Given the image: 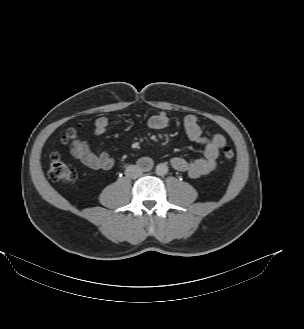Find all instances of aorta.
<instances>
[{"label": "aorta", "instance_id": "1", "mask_svg": "<svg viewBox=\"0 0 304 329\" xmlns=\"http://www.w3.org/2000/svg\"><path fill=\"white\" fill-rule=\"evenodd\" d=\"M168 166L165 163H160L156 166V173L160 176L167 174Z\"/></svg>", "mask_w": 304, "mask_h": 329}]
</instances>
